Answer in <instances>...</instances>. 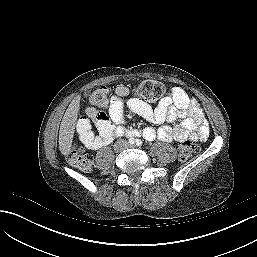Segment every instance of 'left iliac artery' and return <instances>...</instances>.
I'll return each instance as SVG.
<instances>
[{
	"instance_id": "1",
	"label": "left iliac artery",
	"mask_w": 257,
	"mask_h": 257,
	"mask_svg": "<svg viewBox=\"0 0 257 257\" xmlns=\"http://www.w3.org/2000/svg\"><path fill=\"white\" fill-rule=\"evenodd\" d=\"M136 145H137V146H141V145H142V141H141L140 139H137V140H136Z\"/></svg>"
}]
</instances>
